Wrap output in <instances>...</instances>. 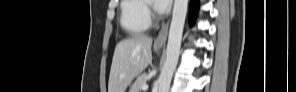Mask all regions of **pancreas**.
Here are the masks:
<instances>
[{"label":"pancreas","instance_id":"pancreas-1","mask_svg":"<svg viewBox=\"0 0 296 92\" xmlns=\"http://www.w3.org/2000/svg\"><path fill=\"white\" fill-rule=\"evenodd\" d=\"M147 75L141 74L137 77L136 81L133 83L131 92H142V85L146 84Z\"/></svg>","mask_w":296,"mask_h":92}]
</instances>
